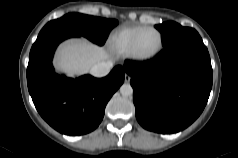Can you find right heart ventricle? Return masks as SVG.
Wrapping results in <instances>:
<instances>
[{
	"label": "right heart ventricle",
	"instance_id": "right-heart-ventricle-1",
	"mask_svg": "<svg viewBox=\"0 0 238 158\" xmlns=\"http://www.w3.org/2000/svg\"><path fill=\"white\" fill-rule=\"evenodd\" d=\"M144 27L142 25H134L116 30L109 39L111 49L121 55L128 54L134 36Z\"/></svg>",
	"mask_w": 238,
	"mask_h": 158
}]
</instances>
